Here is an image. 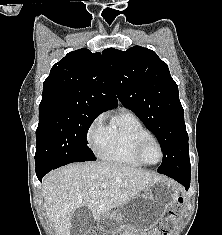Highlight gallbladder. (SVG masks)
<instances>
[{"label":"gallbladder","mask_w":222,"mask_h":235,"mask_svg":"<svg viewBox=\"0 0 222 235\" xmlns=\"http://www.w3.org/2000/svg\"><path fill=\"white\" fill-rule=\"evenodd\" d=\"M93 224V217L86 207L77 208L71 217V235H87Z\"/></svg>","instance_id":"bac80fb5"}]
</instances>
